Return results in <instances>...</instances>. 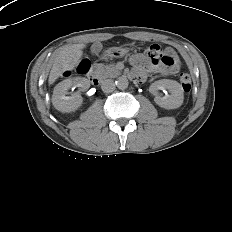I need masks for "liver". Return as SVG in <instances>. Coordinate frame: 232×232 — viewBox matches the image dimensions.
I'll use <instances>...</instances> for the list:
<instances>
[{
  "instance_id": "obj_1",
  "label": "liver",
  "mask_w": 232,
  "mask_h": 232,
  "mask_svg": "<svg viewBox=\"0 0 232 232\" xmlns=\"http://www.w3.org/2000/svg\"><path fill=\"white\" fill-rule=\"evenodd\" d=\"M85 46V44L66 45L59 51L49 74V85L53 84L64 72L74 69L79 64Z\"/></svg>"
}]
</instances>
